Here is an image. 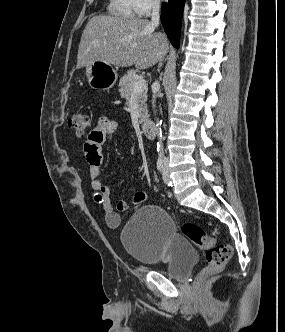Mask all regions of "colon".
I'll return each instance as SVG.
<instances>
[{
    "instance_id": "colon-1",
    "label": "colon",
    "mask_w": 285,
    "mask_h": 332,
    "mask_svg": "<svg viewBox=\"0 0 285 332\" xmlns=\"http://www.w3.org/2000/svg\"><path fill=\"white\" fill-rule=\"evenodd\" d=\"M89 125L88 116L82 112L73 114L69 119L70 128L78 136H83L89 129ZM182 232L198 248L205 250L207 264L201 270V277L217 272L231 259V246L216 242L199 224L187 222L182 226Z\"/></svg>"
}]
</instances>
